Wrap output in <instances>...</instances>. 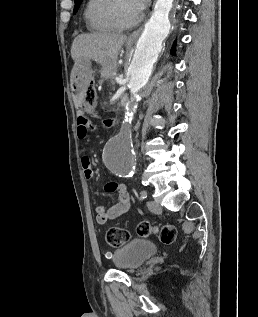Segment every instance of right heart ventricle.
Listing matches in <instances>:
<instances>
[{
    "label": "right heart ventricle",
    "mask_w": 258,
    "mask_h": 317,
    "mask_svg": "<svg viewBox=\"0 0 258 317\" xmlns=\"http://www.w3.org/2000/svg\"><path fill=\"white\" fill-rule=\"evenodd\" d=\"M114 0H88L84 7V19L89 30L96 33H110L114 27L108 21L106 12Z\"/></svg>",
    "instance_id": "obj_1"
}]
</instances>
